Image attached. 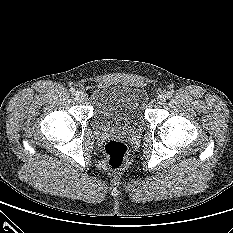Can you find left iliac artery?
<instances>
[{
    "label": "left iliac artery",
    "mask_w": 233,
    "mask_h": 233,
    "mask_svg": "<svg viewBox=\"0 0 233 233\" xmlns=\"http://www.w3.org/2000/svg\"><path fill=\"white\" fill-rule=\"evenodd\" d=\"M166 95H167V98H171L173 96V92L172 91H168Z\"/></svg>",
    "instance_id": "1"
}]
</instances>
